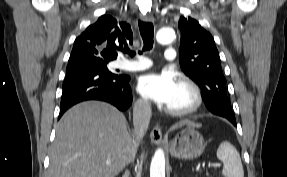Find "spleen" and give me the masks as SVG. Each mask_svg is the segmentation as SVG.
<instances>
[{
	"instance_id": "spleen-1",
	"label": "spleen",
	"mask_w": 287,
	"mask_h": 177,
	"mask_svg": "<svg viewBox=\"0 0 287 177\" xmlns=\"http://www.w3.org/2000/svg\"><path fill=\"white\" fill-rule=\"evenodd\" d=\"M217 158L223 162L222 175L225 177H244L240 155L228 141L222 142L217 149Z\"/></svg>"
}]
</instances>
